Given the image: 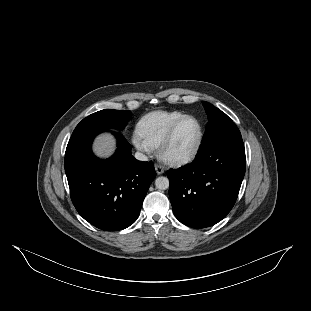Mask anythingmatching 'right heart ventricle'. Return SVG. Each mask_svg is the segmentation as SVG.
I'll use <instances>...</instances> for the list:
<instances>
[{
    "label": "right heart ventricle",
    "instance_id": "obj_1",
    "mask_svg": "<svg viewBox=\"0 0 311 311\" xmlns=\"http://www.w3.org/2000/svg\"><path fill=\"white\" fill-rule=\"evenodd\" d=\"M187 116L178 111H153L141 117L135 125V134L143 142L157 148L173 125Z\"/></svg>",
    "mask_w": 311,
    "mask_h": 311
}]
</instances>
